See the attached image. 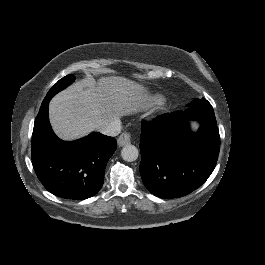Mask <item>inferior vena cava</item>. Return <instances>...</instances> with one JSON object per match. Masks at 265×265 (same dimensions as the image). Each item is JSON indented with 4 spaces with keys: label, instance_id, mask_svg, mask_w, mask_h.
<instances>
[{
    "label": "inferior vena cava",
    "instance_id": "obj_1",
    "mask_svg": "<svg viewBox=\"0 0 265 265\" xmlns=\"http://www.w3.org/2000/svg\"><path fill=\"white\" fill-rule=\"evenodd\" d=\"M98 131L107 136H117L121 132V121L119 119H115L107 125L100 127Z\"/></svg>",
    "mask_w": 265,
    "mask_h": 265
}]
</instances>
